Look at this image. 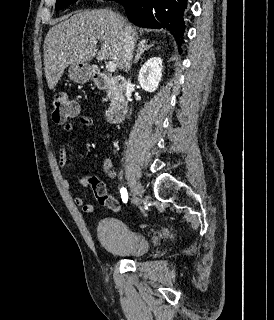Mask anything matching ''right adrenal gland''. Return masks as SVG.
Wrapping results in <instances>:
<instances>
[{
  "instance_id": "2a0ac1e0",
  "label": "right adrenal gland",
  "mask_w": 274,
  "mask_h": 320,
  "mask_svg": "<svg viewBox=\"0 0 274 320\" xmlns=\"http://www.w3.org/2000/svg\"><path fill=\"white\" fill-rule=\"evenodd\" d=\"M152 46H154V44H152ZM152 46H147L146 42H140V44H138V50H136L137 54L134 58V64H137V62H139L142 54H144V52H146V50H150V48H152Z\"/></svg>"
}]
</instances>
